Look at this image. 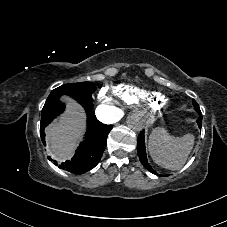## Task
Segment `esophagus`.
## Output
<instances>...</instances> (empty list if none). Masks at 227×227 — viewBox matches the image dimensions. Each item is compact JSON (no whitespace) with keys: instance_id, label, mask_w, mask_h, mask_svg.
I'll list each match as a JSON object with an SVG mask.
<instances>
[{"instance_id":"obj_1","label":"esophagus","mask_w":227,"mask_h":227,"mask_svg":"<svg viewBox=\"0 0 227 227\" xmlns=\"http://www.w3.org/2000/svg\"><path fill=\"white\" fill-rule=\"evenodd\" d=\"M141 121L145 126H150L152 124V118L148 114L143 115Z\"/></svg>"}]
</instances>
